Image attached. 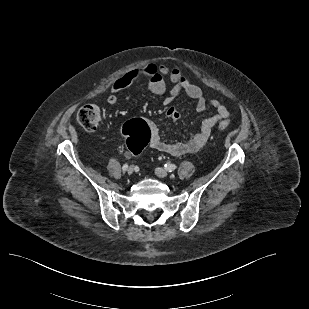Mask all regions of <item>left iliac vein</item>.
I'll return each mask as SVG.
<instances>
[{"instance_id": "obj_1", "label": "left iliac vein", "mask_w": 309, "mask_h": 309, "mask_svg": "<svg viewBox=\"0 0 309 309\" xmlns=\"http://www.w3.org/2000/svg\"><path fill=\"white\" fill-rule=\"evenodd\" d=\"M155 174L160 178H166L168 176L167 170L160 167L155 169Z\"/></svg>"}]
</instances>
